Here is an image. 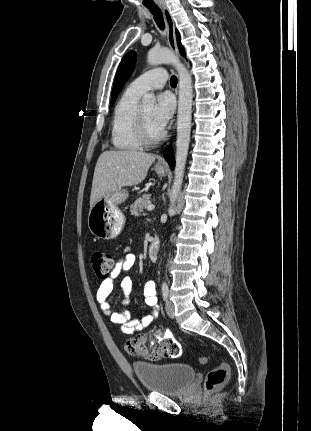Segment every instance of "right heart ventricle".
Segmentation results:
<instances>
[{
	"instance_id": "obj_1",
	"label": "right heart ventricle",
	"mask_w": 311,
	"mask_h": 431,
	"mask_svg": "<svg viewBox=\"0 0 311 431\" xmlns=\"http://www.w3.org/2000/svg\"><path fill=\"white\" fill-rule=\"evenodd\" d=\"M140 96L127 88L114 106L111 142L119 151H136L142 147L135 131Z\"/></svg>"
}]
</instances>
